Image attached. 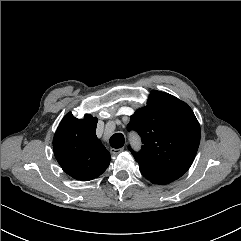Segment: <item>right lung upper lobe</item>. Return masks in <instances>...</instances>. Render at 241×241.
<instances>
[{
  "label": "right lung upper lobe",
  "instance_id": "right-lung-upper-lobe-1",
  "mask_svg": "<svg viewBox=\"0 0 241 241\" xmlns=\"http://www.w3.org/2000/svg\"><path fill=\"white\" fill-rule=\"evenodd\" d=\"M97 121L91 115L77 119L69 112L55 132V158L64 172L77 180H92L110 164V153L95 133Z\"/></svg>",
  "mask_w": 241,
  "mask_h": 241
}]
</instances>
